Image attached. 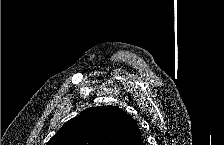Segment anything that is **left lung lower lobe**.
Returning a JSON list of instances; mask_svg holds the SVG:
<instances>
[{"label":"left lung lower lobe","mask_w":224,"mask_h":145,"mask_svg":"<svg viewBox=\"0 0 224 145\" xmlns=\"http://www.w3.org/2000/svg\"><path fill=\"white\" fill-rule=\"evenodd\" d=\"M138 145H143L142 139H141V141L138 143Z\"/></svg>","instance_id":"obj_1"}]
</instances>
